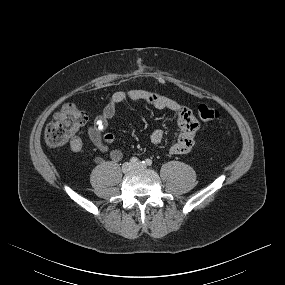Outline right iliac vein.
I'll return each instance as SVG.
<instances>
[{"label":"right iliac vein","instance_id":"1","mask_svg":"<svg viewBox=\"0 0 285 285\" xmlns=\"http://www.w3.org/2000/svg\"><path fill=\"white\" fill-rule=\"evenodd\" d=\"M133 169V166H132V164L131 163H128V162H126V163H124L123 165H122V171L124 172V173H128L130 170H132Z\"/></svg>","mask_w":285,"mask_h":285}]
</instances>
